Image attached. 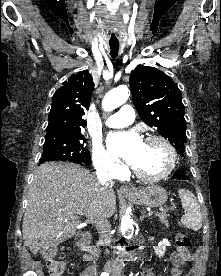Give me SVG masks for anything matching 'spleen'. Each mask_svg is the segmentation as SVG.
<instances>
[{"label":"spleen","instance_id":"obj_1","mask_svg":"<svg viewBox=\"0 0 221 276\" xmlns=\"http://www.w3.org/2000/svg\"><path fill=\"white\" fill-rule=\"evenodd\" d=\"M178 194L182 202V207L186 213L181 217L184 227L198 231L202 227V214L200 206L194 194L187 189H179Z\"/></svg>","mask_w":221,"mask_h":276}]
</instances>
